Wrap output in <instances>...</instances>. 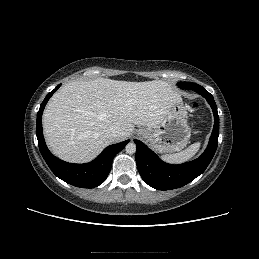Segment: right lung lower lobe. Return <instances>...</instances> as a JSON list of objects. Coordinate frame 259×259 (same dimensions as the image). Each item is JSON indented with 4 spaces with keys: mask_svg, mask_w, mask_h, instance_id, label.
<instances>
[{
    "mask_svg": "<svg viewBox=\"0 0 259 259\" xmlns=\"http://www.w3.org/2000/svg\"><path fill=\"white\" fill-rule=\"evenodd\" d=\"M59 87L60 85L47 94L37 113L36 135L40 152L51 171L66 183L81 188L97 187L107 178L114 156L126 146L129 140L108 146L95 160L86 164H72L55 157L45 144L42 113L47 101Z\"/></svg>",
    "mask_w": 259,
    "mask_h": 259,
    "instance_id": "98d812e1",
    "label": "right lung lower lobe"
}]
</instances>
